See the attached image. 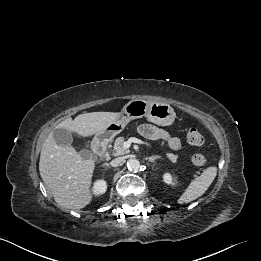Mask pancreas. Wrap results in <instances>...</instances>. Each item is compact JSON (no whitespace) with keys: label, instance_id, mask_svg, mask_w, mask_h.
Segmentation results:
<instances>
[{"label":"pancreas","instance_id":"cf45deb5","mask_svg":"<svg viewBox=\"0 0 261 261\" xmlns=\"http://www.w3.org/2000/svg\"><path fill=\"white\" fill-rule=\"evenodd\" d=\"M125 141V138L124 137H118L115 142H114V146H113V149H112V154L114 156H120V155H123L124 152L126 151L124 148H123V143ZM167 158L172 161L173 163H176L177 162V159H178V156L177 155H174L172 153H167Z\"/></svg>","mask_w":261,"mask_h":261}]
</instances>
